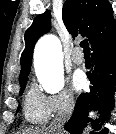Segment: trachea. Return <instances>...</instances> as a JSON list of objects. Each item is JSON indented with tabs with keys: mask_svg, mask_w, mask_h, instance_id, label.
I'll return each mask as SVG.
<instances>
[{
	"mask_svg": "<svg viewBox=\"0 0 116 134\" xmlns=\"http://www.w3.org/2000/svg\"><path fill=\"white\" fill-rule=\"evenodd\" d=\"M80 46L83 48L85 55H90V48H89L87 39H84L83 41H81Z\"/></svg>",
	"mask_w": 116,
	"mask_h": 134,
	"instance_id": "obj_1",
	"label": "trachea"
}]
</instances>
